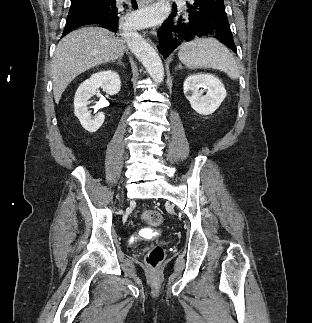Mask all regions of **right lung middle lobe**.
<instances>
[{"label":"right lung middle lobe","mask_w":312,"mask_h":323,"mask_svg":"<svg viewBox=\"0 0 312 323\" xmlns=\"http://www.w3.org/2000/svg\"><path fill=\"white\" fill-rule=\"evenodd\" d=\"M91 1H93V0H71V7H75L81 3H89Z\"/></svg>","instance_id":"dd1d6c3e"}]
</instances>
